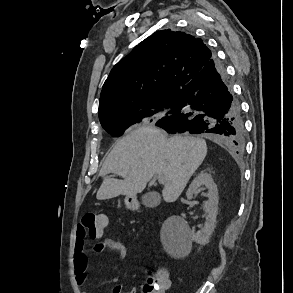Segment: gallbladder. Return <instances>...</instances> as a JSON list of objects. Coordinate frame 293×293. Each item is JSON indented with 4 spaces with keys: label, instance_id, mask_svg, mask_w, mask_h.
<instances>
[{
    "label": "gallbladder",
    "instance_id": "1",
    "mask_svg": "<svg viewBox=\"0 0 293 293\" xmlns=\"http://www.w3.org/2000/svg\"><path fill=\"white\" fill-rule=\"evenodd\" d=\"M142 203L147 207H153L158 205L159 196L155 192H149L142 196Z\"/></svg>",
    "mask_w": 293,
    "mask_h": 293
}]
</instances>
